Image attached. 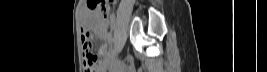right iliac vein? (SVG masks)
Wrapping results in <instances>:
<instances>
[{"label": "right iliac vein", "mask_w": 267, "mask_h": 72, "mask_svg": "<svg viewBox=\"0 0 267 72\" xmlns=\"http://www.w3.org/2000/svg\"><path fill=\"white\" fill-rule=\"evenodd\" d=\"M116 54H117V51H114L113 54L110 56L109 61H112L115 58Z\"/></svg>", "instance_id": "63e3f726"}]
</instances>
